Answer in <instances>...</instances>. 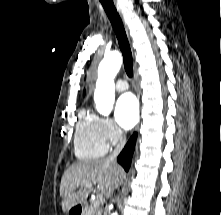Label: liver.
Segmentation results:
<instances>
[{"label":"liver","mask_w":221,"mask_h":215,"mask_svg":"<svg viewBox=\"0 0 221 215\" xmlns=\"http://www.w3.org/2000/svg\"><path fill=\"white\" fill-rule=\"evenodd\" d=\"M123 176V169L107 159L72 164L63 174L60 184L62 211L82 204L90 193L88 184L98 183L100 197L111 198ZM79 187L82 190L76 191Z\"/></svg>","instance_id":"liver-1"}]
</instances>
